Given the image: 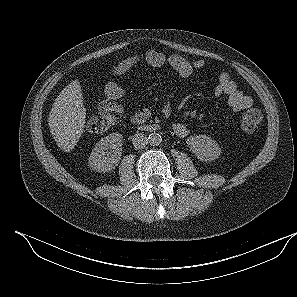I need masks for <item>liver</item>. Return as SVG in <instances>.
<instances>
[{
	"label": "liver",
	"mask_w": 297,
	"mask_h": 297,
	"mask_svg": "<svg viewBox=\"0 0 297 297\" xmlns=\"http://www.w3.org/2000/svg\"><path fill=\"white\" fill-rule=\"evenodd\" d=\"M85 118L81 86L75 80L61 91L49 113L50 133L60 149L70 152L75 148L84 132Z\"/></svg>",
	"instance_id": "obj_1"
}]
</instances>
